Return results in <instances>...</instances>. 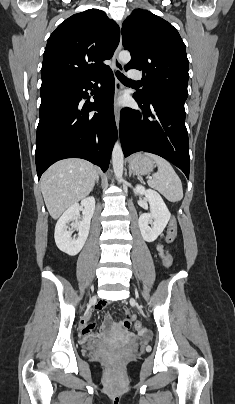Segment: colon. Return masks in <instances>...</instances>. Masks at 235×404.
Instances as JSON below:
<instances>
[{"mask_svg":"<svg viewBox=\"0 0 235 404\" xmlns=\"http://www.w3.org/2000/svg\"><path fill=\"white\" fill-rule=\"evenodd\" d=\"M177 231H178L177 223H176L175 219H172L167 228V233H166L167 244H171L175 240ZM164 262L167 267H171L172 257L168 252L165 253ZM122 325L127 329L131 328L132 326L135 329L140 328V324L138 322H135L134 324H132V321H131V318H130V315L128 312H126V315H125L124 319L122 320ZM107 360L110 361L111 357H107Z\"/></svg>","mask_w":235,"mask_h":404,"instance_id":"obj_1","label":"colon"}]
</instances>
